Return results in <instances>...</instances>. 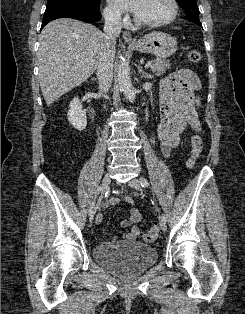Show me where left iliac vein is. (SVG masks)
<instances>
[{"mask_svg":"<svg viewBox=\"0 0 245 314\" xmlns=\"http://www.w3.org/2000/svg\"><path fill=\"white\" fill-rule=\"evenodd\" d=\"M128 184L136 190H141V184L136 178H132L131 180H129ZM160 228L162 231H166L167 229L166 222H164L162 219L160 220Z\"/></svg>","mask_w":245,"mask_h":314,"instance_id":"4c4485c4","label":"left iliac vein"}]
</instances>
